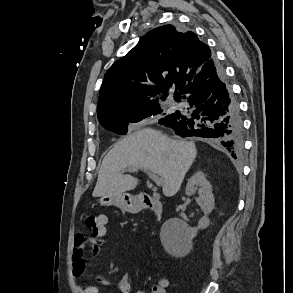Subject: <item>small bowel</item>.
Here are the masks:
<instances>
[{
	"label": "small bowel",
	"mask_w": 293,
	"mask_h": 293,
	"mask_svg": "<svg viewBox=\"0 0 293 293\" xmlns=\"http://www.w3.org/2000/svg\"><path fill=\"white\" fill-rule=\"evenodd\" d=\"M106 228L103 233L97 237L80 232L75 236L73 251H72V271L75 276H84L87 271L88 259L97 256L101 253L102 247L105 244ZM88 244L89 247H88ZM98 280L105 286L116 288L119 293H144L141 290H133L129 274L125 273L116 285L109 284L102 276H98ZM161 293H166L168 281L162 280L160 285ZM81 293H99L97 286L87 284L80 288Z\"/></svg>",
	"instance_id": "1"
}]
</instances>
